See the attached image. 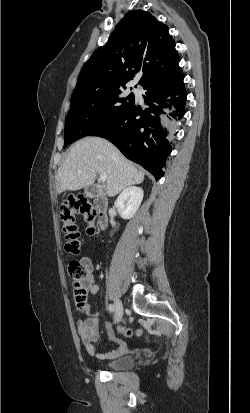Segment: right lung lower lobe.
I'll return each instance as SVG.
<instances>
[{
  "mask_svg": "<svg viewBox=\"0 0 250 413\" xmlns=\"http://www.w3.org/2000/svg\"><path fill=\"white\" fill-rule=\"evenodd\" d=\"M182 71L145 82L146 108L135 102L89 136L112 142L128 159L148 170L156 180L164 175L172 148L175 121L185 114L186 89Z\"/></svg>",
  "mask_w": 250,
  "mask_h": 413,
  "instance_id": "right-lung-lower-lobe-1",
  "label": "right lung lower lobe"
}]
</instances>
